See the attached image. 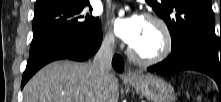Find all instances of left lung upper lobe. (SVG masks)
<instances>
[{"mask_svg": "<svg viewBox=\"0 0 221 102\" xmlns=\"http://www.w3.org/2000/svg\"><path fill=\"white\" fill-rule=\"evenodd\" d=\"M147 3L165 21L171 34L172 48L194 40L218 53L211 0H147Z\"/></svg>", "mask_w": 221, "mask_h": 102, "instance_id": "5c2ea615", "label": "left lung upper lobe"}]
</instances>
